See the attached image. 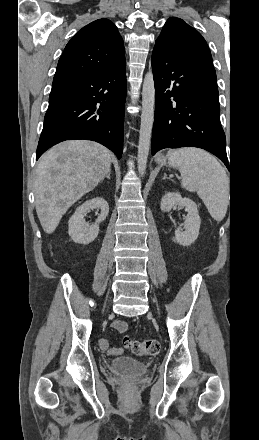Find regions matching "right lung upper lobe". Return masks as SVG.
Listing matches in <instances>:
<instances>
[{
	"label": "right lung upper lobe",
	"instance_id": "cb5924a9",
	"mask_svg": "<svg viewBox=\"0 0 259 440\" xmlns=\"http://www.w3.org/2000/svg\"><path fill=\"white\" fill-rule=\"evenodd\" d=\"M125 61L123 39L106 18L83 27L66 45L53 82L75 80L115 67Z\"/></svg>",
	"mask_w": 259,
	"mask_h": 440
}]
</instances>
